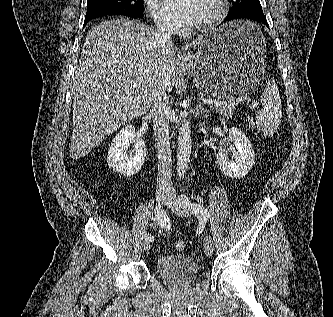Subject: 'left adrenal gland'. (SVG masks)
<instances>
[{
    "label": "left adrenal gland",
    "instance_id": "1",
    "mask_svg": "<svg viewBox=\"0 0 333 317\" xmlns=\"http://www.w3.org/2000/svg\"><path fill=\"white\" fill-rule=\"evenodd\" d=\"M202 113L209 114V110L205 109L204 107L201 106V104H199L196 107V115H200Z\"/></svg>",
    "mask_w": 333,
    "mask_h": 317
}]
</instances>
